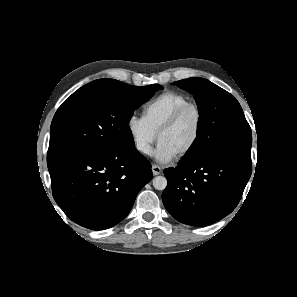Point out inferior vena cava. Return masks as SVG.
<instances>
[{"mask_svg":"<svg viewBox=\"0 0 297 297\" xmlns=\"http://www.w3.org/2000/svg\"><path fill=\"white\" fill-rule=\"evenodd\" d=\"M137 149L147 154L150 152V145L146 142H139L137 144Z\"/></svg>","mask_w":297,"mask_h":297,"instance_id":"inferior-vena-cava-1","label":"inferior vena cava"}]
</instances>
